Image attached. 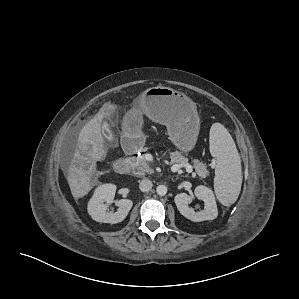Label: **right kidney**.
<instances>
[{
  "mask_svg": "<svg viewBox=\"0 0 299 299\" xmlns=\"http://www.w3.org/2000/svg\"><path fill=\"white\" fill-rule=\"evenodd\" d=\"M116 186L114 184H102L98 186L92 198L88 202V213L93 220L100 223L116 224L122 222L133 206L129 199L117 201L118 210L116 212H107L109 205L115 197Z\"/></svg>",
  "mask_w": 299,
  "mask_h": 299,
  "instance_id": "ca27d5eb",
  "label": "right kidney"
}]
</instances>
